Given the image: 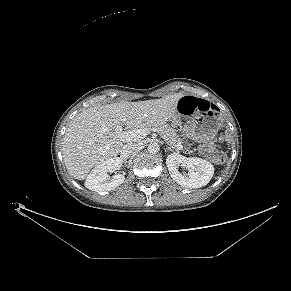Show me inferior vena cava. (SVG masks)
<instances>
[{
  "label": "inferior vena cava",
  "instance_id": "602c4592",
  "mask_svg": "<svg viewBox=\"0 0 291 291\" xmlns=\"http://www.w3.org/2000/svg\"><path fill=\"white\" fill-rule=\"evenodd\" d=\"M140 148V144L137 142H130L123 146L121 150V155L124 157L131 156L135 154Z\"/></svg>",
  "mask_w": 291,
  "mask_h": 291
}]
</instances>
